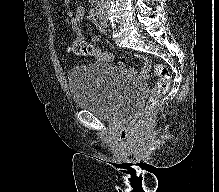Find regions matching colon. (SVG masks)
<instances>
[{"mask_svg": "<svg viewBox=\"0 0 219 192\" xmlns=\"http://www.w3.org/2000/svg\"><path fill=\"white\" fill-rule=\"evenodd\" d=\"M70 51L76 55H83L88 57L100 56L105 62L112 61V56L107 52H102L97 49L93 44L87 43L82 38H75L70 46ZM154 73L158 76V81L154 87L153 94L147 100L145 110L138 119V125L145 127L150 118L156 112L159 97L165 94L170 86L171 74L167 67L157 64L153 69Z\"/></svg>", "mask_w": 219, "mask_h": 192, "instance_id": "1", "label": "colon"}]
</instances>
